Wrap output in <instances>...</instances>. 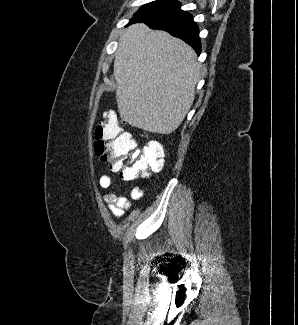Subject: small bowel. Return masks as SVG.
<instances>
[{"label": "small bowel", "mask_w": 298, "mask_h": 325, "mask_svg": "<svg viewBox=\"0 0 298 325\" xmlns=\"http://www.w3.org/2000/svg\"><path fill=\"white\" fill-rule=\"evenodd\" d=\"M99 185L103 189H109L113 185V179L108 174H102L99 178ZM145 194V189L142 186H136L131 191V197L134 200H140ZM105 201L108 204L110 212L117 218L121 217L125 211L129 210L132 206L131 202L120 195L115 193H107Z\"/></svg>", "instance_id": "obj_1"}]
</instances>
